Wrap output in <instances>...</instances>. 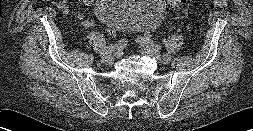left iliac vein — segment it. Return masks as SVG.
<instances>
[{"instance_id":"4c4485c4","label":"left iliac vein","mask_w":253,"mask_h":131,"mask_svg":"<svg viewBox=\"0 0 253 131\" xmlns=\"http://www.w3.org/2000/svg\"><path fill=\"white\" fill-rule=\"evenodd\" d=\"M137 42L141 45V52L151 58H154L158 61H170L171 60V56L166 54L163 55L154 47L147 45L141 38H139L137 40Z\"/></svg>"}]
</instances>
